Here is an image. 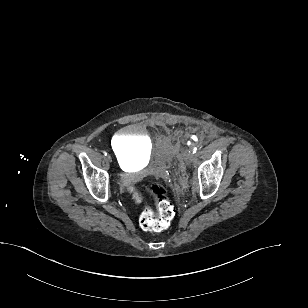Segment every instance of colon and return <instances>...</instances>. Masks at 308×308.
Instances as JSON below:
<instances>
[{
    "instance_id": "1",
    "label": "colon",
    "mask_w": 308,
    "mask_h": 308,
    "mask_svg": "<svg viewBox=\"0 0 308 308\" xmlns=\"http://www.w3.org/2000/svg\"><path fill=\"white\" fill-rule=\"evenodd\" d=\"M131 193L134 201L142 205L139 222L144 230L159 232L168 227L175 215V209L162 185L140 183L131 189ZM150 197L155 200V209L146 204Z\"/></svg>"
}]
</instances>
